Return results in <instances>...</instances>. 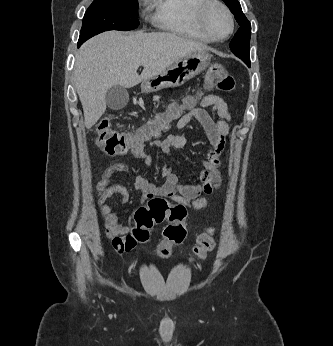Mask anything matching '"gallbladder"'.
Instances as JSON below:
<instances>
[{
  "label": "gallbladder",
  "instance_id": "obj_1",
  "mask_svg": "<svg viewBox=\"0 0 333 346\" xmlns=\"http://www.w3.org/2000/svg\"><path fill=\"white\" fill-rule=\"evenodd\" d=\"M105 101L110 109L121 110L127 105L129 101L128 91L122 86H113L107 90Z\"/></svg>",
  "mask_w": 333,
  "mask_h": 346
}]
</instances>
